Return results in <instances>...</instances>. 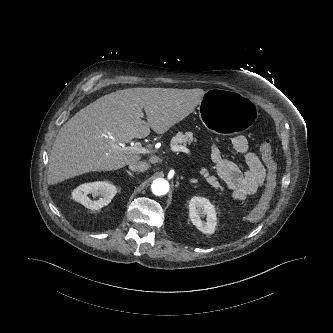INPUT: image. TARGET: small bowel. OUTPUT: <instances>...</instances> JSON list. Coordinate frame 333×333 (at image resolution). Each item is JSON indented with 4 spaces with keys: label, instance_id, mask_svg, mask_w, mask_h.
I'll return each mask as SVG.
<instances>
[{
    "label": "small bowel",
    "instance_id": "1",
    "mask_svg": "<svg viewBox=\"0 0 333 333\" xmlns=\"http://www.w3.org/2000/svg\"><path fill=\"white\" fill-rule=\"evenodd\" d=\"M231 144L245 161L246 170L244 172L234 162L224 157L219 142L214 144L211 149V160L221 179L231 189L233 197L237 200H246L255 195L264 185L267 172L265 165L267 163L261 160L256 153L250 151L244 136L233 137Z\"/></svg>",
    "mask_w": 333,
    "mask_h": 333
}]
</instances>
